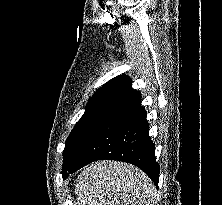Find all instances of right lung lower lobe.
<instances>
[{"label": "right lung lower lobe", "instance_id": "1", "mask_svg": "<svg viewBox=\"0 0 222 205\" xmlns=\"http://www.w3.org/2000/svg\"><path fill=\"white\" fill-rule=\"evenodd\" d=\"M146 117L141 94L137 91L107 112L62 176L66 178L67 174L93 161L119 160L142 169L157 186L160 168L155 158L154 143L149 137Z\"/></svg>", "mask_w": 222, "mask_h": 205}]
</instances>
